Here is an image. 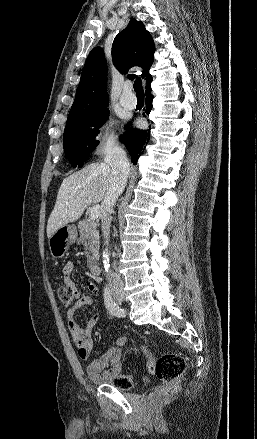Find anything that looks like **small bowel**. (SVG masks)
Segmentation results:
<instances>
[{"label": "small bowel", "instance_id": "obj_1", "mask_svg": "<svg viewBox=\"0 0 257 439\" xmlns=\"http://www.w3.org/2000/svg\"><path fill=\"white\" fill-rule=\"evenodd\" d=\"M73 271L74 266L71 262L66 263L62 268L64 283L72 289L76 298L74 305L66 312L68 329L77 348L78 356L86 361L85 369L88 378L95 383H107L121 372L123 352L127 339L124 336L119 337L116 343L99 358L89 359L93 350L92 332L99 320V315L96 314L91 317L84 327L77 323V312L81 308L91 305L92 299L89 296H80L79 290L72 279ZM89 287L93 292L98 293V288L94 283L90 282Z\"/></svg>", "mask_w": 257, "mask_h": 439}]
</instances>
